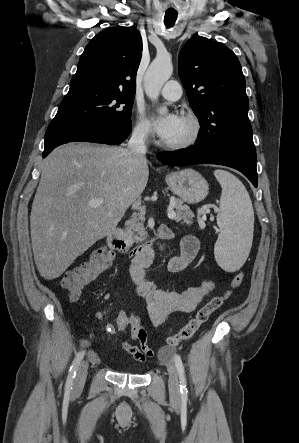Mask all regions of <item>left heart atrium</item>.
<instances>
[{"label":"left heart atrium","instance_id":"left-heart-atrium-1","mask_svg":"<svg viewBox=\"0 0 299 443\" xmlns=\"http://www.w3.org/2000/svg\"><path fill=\"white\" fill-rule=\"evenodd\" d=\"M181 118L174 112L153 114L151 124L154 132L163 140L170 137L177 129Z\"/></svg>","mask_w":299,"mask_h":443}]
</instances>
